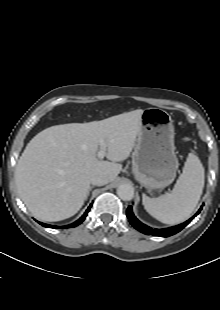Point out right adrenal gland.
<instances>
[{"label":"right adrenal gland","mask_w":220,"mask_h":310,"mask_svg":"<svg viewBox=\"0 0 220 310\" xmlns=\"http://www.w3.org/2000/svg\"><path fill=\"white\" fill-rule=\"evenodd\" d=\"M92 188H93V187H90V188H89L88 193H87V196H86V200H87V198H88V196H89L90 191L92 190Z\"/></svg>","instance_id":"1"}]
</instances>
